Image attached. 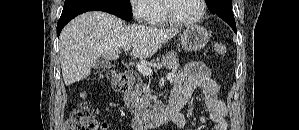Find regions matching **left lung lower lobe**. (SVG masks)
<instances>
[{"label":"left lung lower lobe","mask_w":299,"mask_h":130,"mask_svg":"<svg viewBox=\"0 0 299 130\" xmlns=\"http://www.w3.org/2000/svg\"><path fill=\"white\" fill-rule=\"evenodd\" d=\"M208 9L212 13L222 18L231 26L234 32H236V24L232 12V4L229 3L228 0H215L211 5H208Z\"/></svg>","instance_id":"1"}]
</instances>
